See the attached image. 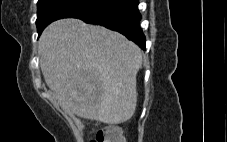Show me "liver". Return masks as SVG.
Wrapping results in <instances>:
<instances>
[{
  "label": "liver",
  "instance_id": "obj_1",
  "mask_svg": "<svg viewBox=\"0 0 227 142\" xmlns=\"http://www.w3.org/2000/svg\"><path fill=\"white\" fill-rule=\"evenodd\" d=\"M39 55L44 80L66 112L107 124L133 116L142 51L125 36L61 19L42 32Z\"/></svg>",
  "mask_w": 227,
  "mask_h": 142
}]
</instances>
